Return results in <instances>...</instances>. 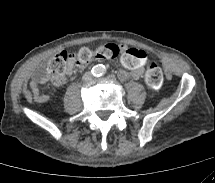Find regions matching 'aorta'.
Here are the masks:
<instances>
[{"mask_svg":"<svg viewBox=\"0 0 215 183\" xmlns=\"http://www.w3.org/2000/svg\"><path fill=\"white\" fill-rule=\"evenodd\" d=\"M93 72L96 74V75H102L106 72V68L104 65L102 64H98L96 65L94 68H93Z\"/></svg>","mask_w":215,"mask_h":183,"instance_id":"aorta-1","label":"aorta"}]
</instances>
